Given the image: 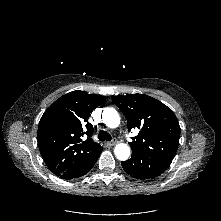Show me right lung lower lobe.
<instances>
[{"mask_svg":"<svg viewBox=\"0 0 221 221\" xmlns=\"http://www.w3.org/2000/svg\"><path fill=\"white\" fill-rule=\"evenodd\" d=\"M101 151L102 149L90 155L89 157H87L77 165L71 167L70 169L66 170L65 172H63L58 176L62 179H74L85 175L87 172H89L92 169V167L98 160Z\"/></svg>","mask_w":221,"mask_h":221,"instance_id":"right-lung-lower-lobe-1","label":"right lung lower lobe"}]
</instances>
